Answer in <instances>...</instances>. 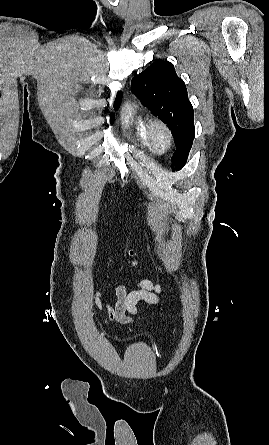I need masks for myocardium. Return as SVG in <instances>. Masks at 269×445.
Segmentation results:
<instances>
[{"label":"myocardium","mask_w":269,"mask_h":445,"mask_svg":"<svg viewBox=\"0 0 269 445\" xmlns=\"http://www.w3.org/2000/svg\"><path fill=\"white\" fill-rule=\"evenodd\" d=\"M158 133L163 134V136L165 137V144L163 146H160L157 143L156 135ZM146 134L151 149L159 155L167 153L173 146V132L170 126L160 118H155L148 122Z\"/></svg>","instance_id":"myocardium-1"}]
</instances>
